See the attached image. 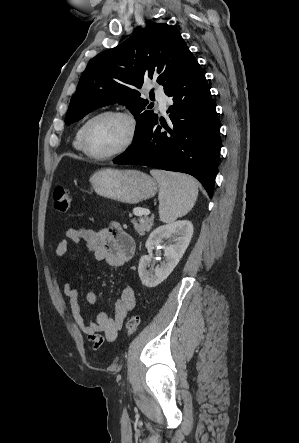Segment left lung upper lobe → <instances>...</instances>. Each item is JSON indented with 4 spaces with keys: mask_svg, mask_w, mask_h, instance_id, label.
I'll return each instance as SVG.
<instances>
[{
    "mask_svg": "<svg viewBox=\"0 0 299 443\" xmlns=\"http://www.w3.org/2000/svg\"><path fill=\"white\" fill-rule=\"evenodd\" d=\"M197 63L181 34L164 23L148 24L117 47L88 63L72 96L65 118L72 124L100 107L124 104L134 115L136 141L158 118L141 98L144 79H155L166 93Z\"/></svg>",
    "mask_w": 299,
    "mask_h": 443,
    "instance_id": "obj_1",
    "label": "left lung upper lobe"
}]
</instances>
